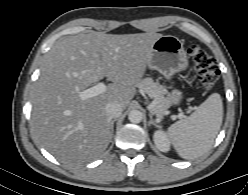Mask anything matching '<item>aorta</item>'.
Wrapping results in <instances>:
<instances>
[{"label":"aorta","instance_id":"762f6f07","mask_svg":"<svg viewBox=\"0 0 248 195\" xmlns=\"http://www.w3.org/2000/svg\"><path fill=\"white\" fill-rule=\"evenodd\" d=\"M143 115L139 110H131L128 114V119L132 123H140L142 121Z\"/></svg>","mask_w":248,"mask_h":195}]
</instances>
